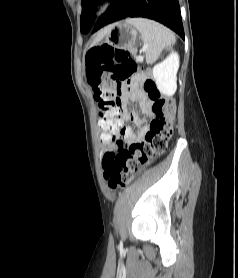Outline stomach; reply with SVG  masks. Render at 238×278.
Instances as JSON below:
<instances>
[{"mask_svg":"<svg viewBox=\"0 0 238 278\" xmlns=\"http://www.w3.org/2000/svg\"><path fill=\"white\" fill-rule=\"evenodd\" d=\"M105 31L103 44L119 49H134L139 37L138 30L127 21L113 23Z\"/></svg>","mask_w":238,"mask_h":278,"instance_id":"stomach-1","label":"stomach"}]
</instances>
